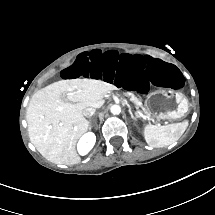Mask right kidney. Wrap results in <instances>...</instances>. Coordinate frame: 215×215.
I'll return each mask as SVG.
<instances>
[{
    "label": "right kidney",
    "mask_w": 215,
    "mask_h": 215,
    "mask_svg": "<svg viewBox=\"0 0 215 215\" xmlns=\"http://www.w3.org/2000/svg\"><path fill=\"white\" fill-rule=\"evenodd\" d=\"M96 143V135L94 132L88 131L84 133L78 140L76 145L77 153L80 156L87 155Z\"/></svg>",
    "instance_id": "right-kidney-1"
}]
</instances>
